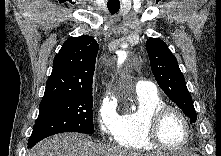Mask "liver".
Instances as JSON below:
<instances>
[{"label": "liver", "mask_w": 221, "mask_h": 156, "mask_svg": "<svg viewBox=\"0 0 221 156\" xmlns=\"http://www.w3.org/2000/svg\"><path fill=\"white\" fill-rule=\"evenodd\" d=\"M28 156H151L116 147L96 144L79 133H62L39 142Z\"/></svg>", "instance_id": "6515ba94"}]
</instances>
